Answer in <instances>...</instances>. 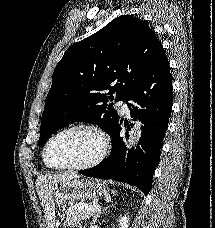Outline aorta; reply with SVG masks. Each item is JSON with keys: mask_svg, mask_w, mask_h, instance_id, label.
Returning <instances> with one entry per match:
<instances>
[{"mask_svg": "<svg viewBox=\"0 0 215 228\" xmlns=\"http://www.w3.org/2000/svg\"><path fill=\"white\" fill-rule=\"evenodd\" d=\"M140 136H141V126H140V124H135L134 130L132 132V136H130V138H129L130 146H133V144H136V142H138Z\"/></svg>", "mask_w": 215, "mask_h": 228, "instance_id": "obj_1", "label": "aorta"}]
</instances>
